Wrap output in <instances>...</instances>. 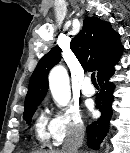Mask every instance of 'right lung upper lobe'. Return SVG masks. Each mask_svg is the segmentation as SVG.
I'll list each match as a JSON object with an SVG mask.
<instances>
[{"label":"right lung upper lobe","instance_id":"obj_1","mask_svg":"<svg viewBox=\"0 0 130 153\" xmlns=\"http://www.w3.org/2000/svg\"><path fill=\"white\" fill-rule=\"evenodd\" d=\"M70 48L84 70L97 71V77L115 64L123 51L119 34L110 23L98 17L83 20L82 30L72 39ZM60 59L59 47L52 48L41 58L29 82L25 108L43 100L48 90V72Z\"/></svg>","mask_w":130,"mask_h":153}]
</instances>
